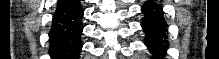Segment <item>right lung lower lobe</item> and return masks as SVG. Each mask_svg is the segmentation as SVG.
<instances>
[{
	"label": "right lung lower lobe",
	"instance_id": "1",
	"mask_svg": "<svg viewBox=\"0 0 219 59\" xmlns=\"http://www.w3.org/2000/svg\"><path fill=\"white\" fill-rule=\"evenodd\" d=\"M84 10L79 0H59L49 33L52 59H78Z\"/></svg>",
	"mask_w": 219,
	"mask_h": 59
}]
</instances>
